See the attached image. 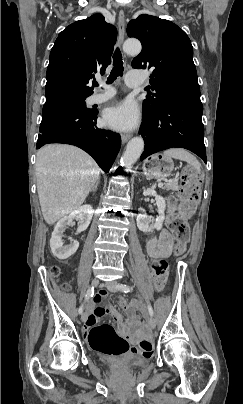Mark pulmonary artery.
<instances>
[{
  "mask_svg": "<svg viewBox=\"0 0 243 404\" xmlns=\"http://www.w3.org/2000/svg\"><path fill=\"white\" fill-rule=\"evenodd\" d=\"M98 84L101 88H103L102 91L96 92L94 94L91 95V103L92 104H101L104 103L106 101H108L109 99H111L115 93L116 90L113 86L108 85L104 80H102L101 78H98ZM124 82L126 85L130 86V87H138L141 85L140 82H138L137 80L134 79H130V78H125Z\"/></svg>",
  "mask_w": 243,
  "mask_h": 404,
  "instance_id": "e3ab8cb5",
  "label": "pulmonary artery"
}]
</instances>
